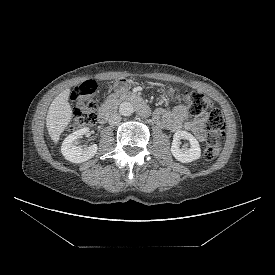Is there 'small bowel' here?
Returning <instances> with one entry per match:
<instances>
[{"label": "small bowel", "mask_w": 275, "mask_h": 275, "mask_svg": "<svg viewBox=\"0 0 275 275\" xmlns=\"http://www.w3.org/2000/svg\"><path fill=\"white\" fill-rule=\"evenodd\" d=\"M130 86V82L127 79H119L114 89L117 92H124ZM179 103L172 111H168L163 108H159L154 113V119L156 123L167 130L177 132L181 129L191 131L199 141H203L205 138L204 125L207 120V113L202 112L192 119H188V111L183 104V98L179 97Z\"/></svg>", "instance_id": "1"}]
</instances>
